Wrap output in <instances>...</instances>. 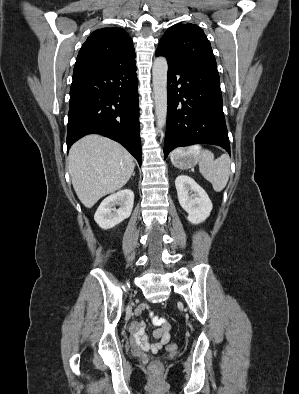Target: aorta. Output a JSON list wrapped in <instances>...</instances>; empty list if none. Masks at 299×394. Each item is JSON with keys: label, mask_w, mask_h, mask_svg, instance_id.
I'll return each instance as SVG.
<instances>
[{"label": "aorta", "mask_w": 299, "mask_h": 394, "mask_svg": "<svg viewBox=\"0 0 299 394\" xmlns=\"http://www.w3.org/2000/svg\"><path fill=\"white\" fill-rule=\"evenodd\" d=\"M167 71H168V64L166 58L162 56L157 57L153 63L152 75H153L156 125L158 128H163L166 123Z\"/></svg>", "instance_id": "obj_1"}]
</instances>
